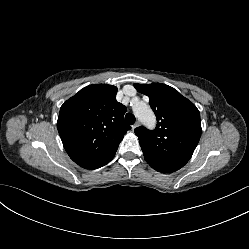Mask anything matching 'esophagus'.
I'll return each mask as SVG.
<instances>
[{"instance_id":"34e87169","label":"esophagus","mask_w":249,"mask_h":249,"mask_svg":"<svg viewBox=\"0 0 249 249\" xmlns=\"http://www.w3.org/2000/svg\"><path fill=\"white\" fill-rule=\"evenodd\" d=\"M140 125V123L137 121L133 126L132 129L134 130L135 128H137Z\"/></svg>"}]
</instances>
